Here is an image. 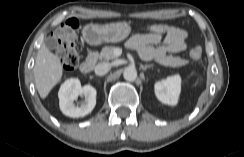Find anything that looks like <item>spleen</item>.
Returning <instances> with one entry per match:
<instances>
[{
  "label": "spleen",
  "instance_id": "spleen-1",
  "mask_svg": "<svg viewBox=\"0 0 244 157\" xmlns=\"http://www.w3.org/2000/svg\"><path fill=\"white\" fill-rule=\"evenodd\" d=\"M200 80H201V79H197L196 84H198V83L200 82Z\"/></svg>",
  "mask_w": 244,
  "mask_h": 157
}]
</instances>
